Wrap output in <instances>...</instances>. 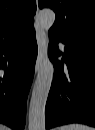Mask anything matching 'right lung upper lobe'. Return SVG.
<instances>
[{"mask_svg": "<svg viewBox=\"0 0 95 130\" xmlns=\"http://www.w3.org/2000/svg\"><path fill=\"white\" fill-rule=\"evenodd\" d=\"M35 12L34 0H0V45L32 30Z\"/></svg>", "mask_w": 95, "mask_h": 130, "instance_id": "obj_1", "label": "right lung upper lobe"}]
</instances>
